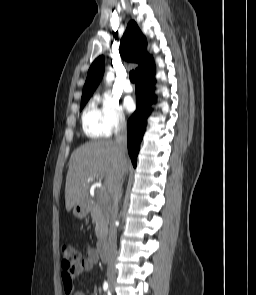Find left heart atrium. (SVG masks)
Listing matches in <instances>:
<instances>
[{
    "label": "left heart atrium",
    "instance_id": "obj_1",
    "mask_svg": "<svg viewBox=\"0 0 256 295\" xmlns=\"http://www.w3.org/2000/svg\"><path fill=\"white\" fill-rule=\"evenodd\" d=\"M123 105H124V108H125L128 112L133 111L134 108H135V103H134V101H133V99H132L131 97H126V98L124 99V103H123Z\"/></svg>",
    "mask_w": 256,
    "mask_h": 295
}]
</instances>
